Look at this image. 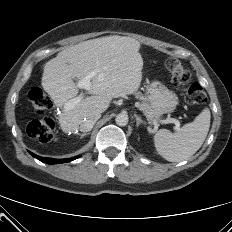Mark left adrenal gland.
Listing matches in <instances>:
<instances>
[{"mask_svg":"<svg viewBox=\"0 0 232 232\" xmlns=\"http://www.w3.org/2000/svg\"><path fill=\"white\" fill-rule=\"evenodd\" d=\"M135 118H136V126H137V128H138L141 124H145V122H144L137 114H135Z\"/></svg>","mask_w":232,"mask_h":232,"instance_id":"1","label":"left adrenal gland"}]
</instances>
